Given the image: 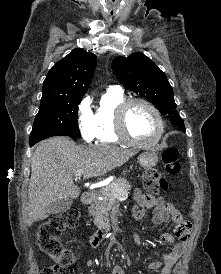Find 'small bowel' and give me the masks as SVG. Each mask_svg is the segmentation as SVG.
Returning a JSON list of instances; mask_svg holds the SVG:
<instances>
[{
    "label": "small bowel",
    "mask_w": 221,
    "mask_h": 274,
    "mask_svg": "<svg viewBox=\"0 0 221 274\" xmlns=\"http://www.w3.org/2000/svg\"><path fill=\"white\" fill-rule=\"evenodd\" d=\"M134 199L136 205L132 209V214L135 219L140 220L144 218L147 211L152 209V222L155 225H160L168 220H171L175 225L173 233H163L160 239L163 243L169 244L176 241V244L170 252L163 256L161 261H152L149 264L150 270L160 269V274H171L173 267L185 251L190 236V224L172 203L166 202L160 197H152L142 193L140 190H135ZM87 265L92 266L93 261L88 260ZM111 274L127 273L124 267L115 266Z\"/></svg>",
    "instance_id": "c3829d8e"
}]
</instances>
